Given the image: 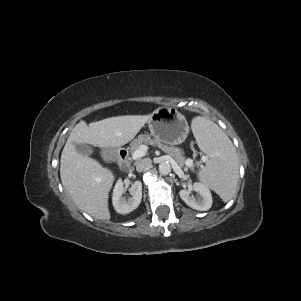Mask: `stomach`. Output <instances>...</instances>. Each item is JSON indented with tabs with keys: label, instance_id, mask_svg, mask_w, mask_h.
Here are the masks:
<instances>
[{
	"label": "stomach",
	"instance_id": "1",
	"mask_svg": "<svg viewBox=\"0 0 301 301\" xmlns=\"http://www.w3.org/2000/svg\"><path fill=\"white\" fill-rule=\"evenodd\" d=\"M151 135L168 145L183 143L189 133L185 117L175 109L161 107L156 109L148 121Z\"/></svg>",
	"mask_w": 301,
	"mask_h": 301
}]
</instances>
